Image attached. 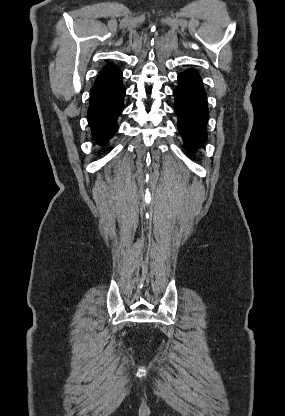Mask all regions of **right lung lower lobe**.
<instances>
[{
    "label": "right lung lower lobe",
    "mask_w": 285,
    "mask_h": 416,
    "mask_svg": "<svg viewBox=\"0 0 285 416\" xmlns=\"http://www.w3.org/2000/svg\"><path fill=\"white\" fill-rule=\"evenodd\" d=\"M124 96L122 73L93 85L87 116L92 135L99 144H104L117 131V118L124 108Z\"/></svg>",
    "instance_id": "obj_1"
}]
</instances>
